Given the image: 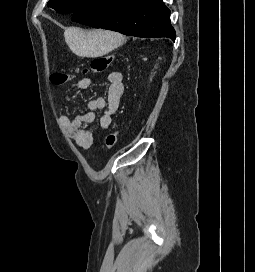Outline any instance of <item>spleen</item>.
I'll use <instances>...</instances> for the list:
<instances>
[{"label": "spleen", "mask_w": 255, "mask_h": 272, "mask_svg": "<svg viewBox=\"0 0 255 272\" xmlns=\"http://www.w3.org/2000/svg\"><path fill=\"white\" fill-rule=\"evenodd\" d=\"M65 41L73 53L82 57H98L119 47L123 36L106 30L86 31L78 27L65 30Z\"/></svg>", "instance_id": "spleen-1"}]
</instances>
